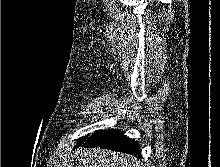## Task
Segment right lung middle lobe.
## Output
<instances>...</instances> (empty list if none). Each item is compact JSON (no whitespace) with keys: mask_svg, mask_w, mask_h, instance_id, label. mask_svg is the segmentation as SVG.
I'll use <instances>...</instances> for the list:
<instances>
[{"mask_svg":"<svg viewBox=\"0 0 220 167\" xmlns=\"http://www.w3.org/2000/svg\"><path fill=\"white\" fill-rule=\"evenodd\" d=\"M86 140V138H83L80 140V142L77 143L76 147L80 146L82 143H84V141Z\"/></svg>","mask_w":220,"mask_h":167,"instance_id":"1","label":"right lung middle lobe"}]
</instances>
